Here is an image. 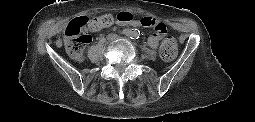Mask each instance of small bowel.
Returning a JSON list of instances; mask_svg holds the SVG:
<instances>
[{
  "mask_svg": "<svg viewBox=\"0 0 255 122\" xmlns=\"http://www.w3.org/2000/svg\"><path fill=\"white\" fill-rule=\"evenodd\" d=\"M124 24L131 25V26H140V23L138 22V20L127 22ZM160 39H161V36L158 33H153L148 38V45L151 48L156 49L159 45Z\"/></svg>",
  "mask_w": 255,
  "mask_h": 122,
  "instance_id": "c3829d8e",
  "label": "small bowel"
}]
</instances>
